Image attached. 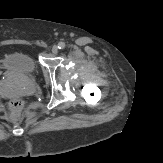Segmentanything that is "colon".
<instances>
[{"mask_svg":"<svg viewBox=\"0 0 163 163\" xmlns=\"http://www.w3.org/2000/svg\"><path fill=\"white\" fill-rule=\"evenodd\" d=\"M10 107L13 111L18 112L22 108V102L18 99H14L11 101Z\"/></svg>","mask_w":163,"mask_h":163,"instance_id":"obj_1","label":"colon"}]
</instances>
